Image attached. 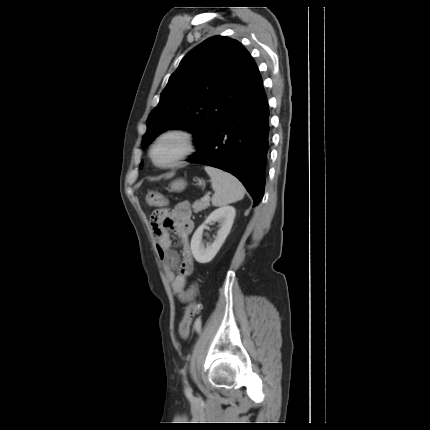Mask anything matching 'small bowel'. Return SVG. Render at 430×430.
Returning <instances> with one entry per match:
<instances>
[{
	"mask_svg": "<svg viewBox=\"0 0 430 430\" xmlns=\"http://www.w3.org/2000/svg\"><path fill=\"white\" fill-rule=\"evenodd\" d=\"M151 229L157 242L158 256L177 297L186 302L196 293L194 285L187 288L188 278L193 271V260L190 247V234L194 223L191 219L190 205L180 202L171 210L155 211L151 216ZM169 230L174 231L180 244L179 253L172 248ZM200 323V320H198ZM181 323L179 325V332Z\"/></svg>",
	"mask_w": 430,
	"mask_h": 430,
	"instance_id": "obj_1",
	"label": "small bowel"
}]
</instances>
